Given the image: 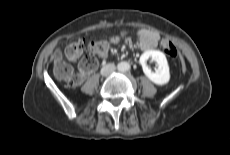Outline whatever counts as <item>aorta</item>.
Here are the masks:
<instances>
[{
	"label": "aorta",
	"instance_id": "aorta-1",
	"mask_svg": "<svg viewBox=\"0 0 230 155\" xmlns=\"http://www.w3.org/2000/svg\"><path fill=\"white\" fill-rule=\"evenodd\" d=\"M118 69L122 72L128 71L130 69V64L128 62H121L118 65Z\"/></svg>",
	"mask_w": 230,
	"mask_h": 155
}]
</instances>
